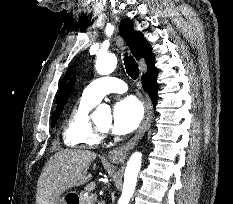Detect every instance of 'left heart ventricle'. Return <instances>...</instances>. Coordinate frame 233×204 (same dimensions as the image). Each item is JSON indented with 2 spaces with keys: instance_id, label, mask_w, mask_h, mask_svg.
Wrapping results in <instances>:
<instances>
[{
  "instance_id": "left-heart-ventricle-1",
  "label": "left heart ventricle",
  "mask_w": 233,
  "mask_h": 204,
  "mask_svg": "<svg viewBox=\"0 0 233 204\" xmlns=\"http://www.w3.org/2000/svg\"><path fill=\"white\" fill-rule=\"evenodd\" d=\"M97 125L104 130H108L111 125V118L109 116L104 117L103 119L97 122Z\"/></svg>"
}]
</instances>
